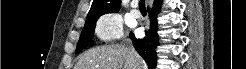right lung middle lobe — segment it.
I'll use <instances>...</instances> for the list:
<instances>
[{
	"label": "right lung middle lobe",
	"instance_id": "dd1d6c3e",
	"mask_svg": "<svg viewBox=\"0 0 246 69\" xmlns=\"http://www.w3.org/2000/svg\"><path fill=\"white\" fill-rule=\"evenodd\" d=\"M96 21H97V19L85 22L84 28H83L82 33L80 35L79 42L77 44L76 54L79 53L82 49H85V48L92 46L94 44L92 37L94 34Z\"/></svg>",
	"mask_w": 246,
	"mask_h": 69
}]
</instances>
